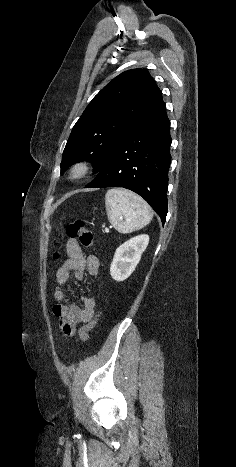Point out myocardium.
<instances>
[{
    "label": "myocardium",
    "mask_w": 236,
    "mask_h": 467,
    "mask_svg": "<svg viewBox=\"0 0 236 467\" xmlns=\"http://www.w3.org/2000/svg\"><path fill=\"white\" fill-rule=\"evenodd\" d=\"M92 164L87 159H82L74 162L68 168V179L71 181H80L87 177L91 172Z\"/></svg>",
    "instance_id": "f54148a6"
}]
</instances>
